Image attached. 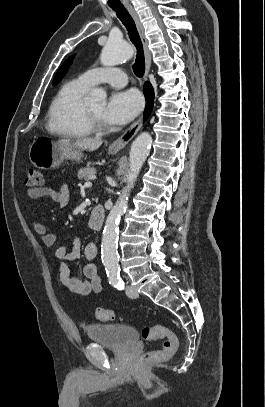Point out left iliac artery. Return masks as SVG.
<instances>
[{
	"instance_id": "1",
	"label": "left iliac artery",
	"mask_w": 265,
	"mask_h": 407,
	"mask_svg": "<svg viewBox=\"0 0 265 407\" xmlns=\"http://www.w3.org/2000/svg\"><path fill=\"white\" fill-rule=\"evenodd\" d=\"M109 283L116 287L118 290L124 289V281L119 276L117 278H111Z\"/></svg>"
}]
</instances>
